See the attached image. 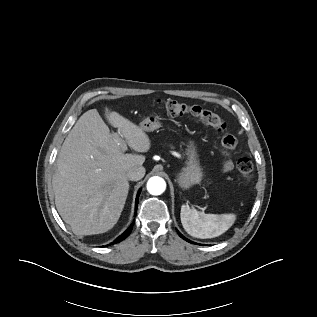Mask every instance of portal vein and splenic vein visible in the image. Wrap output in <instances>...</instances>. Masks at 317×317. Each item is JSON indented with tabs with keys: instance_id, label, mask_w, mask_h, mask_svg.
<instances>
[{
	"instance_id": "obj_1",
	"label": "portal vein and splenic vein",
	"mask_w": 317,
	"mask_h": 317,
	"mask_svg": "<svg viewBox=\"0 0 317 317\" xmlns=\"http://www.w3.org/2000/svg\"><path fill=\"white\" fill-rule=\"evenodd\" d=\"M115 135L118 136L117 134H115ZM120 146L123 149V151L127 150V145L123 140L120 141Z\"/></svg>"
}]
</instances>
